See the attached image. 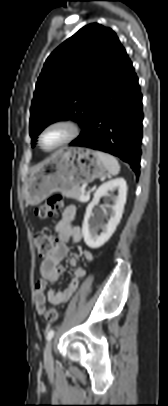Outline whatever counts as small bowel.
Returning a JSON list of instances; mask_svg holds the SVG:
<instances>
[{
  "instance_id": "small-bowel-1",
  "label": "small bowel",
  "mask_w": 168,
  "mask_h": 406,
  "mask_svg": "<svg viewBox=\"0 0 168 406\" xmlns=\"http://www.w3.org/2000/svg\"><path fill=\"white\" fill-rule=\"evenodd\" d=\"M76 216V208L68 206L64 209L60 220L55 224L54 231L58 235V243L39 266L40 280L36 283L34 296L38 303L44 299V292L49 282H55L64 273V267L61 264L62 260L67 257L69 246L77 243L82 238L80 227L73 225V220ZM94 255L91 251L85 250L82 253V259L85 262H91ZM78 257L70 258L69 263L75 267L74 276L69 280L67 287L64 290L50 288L47 290V299L53 305H60L67 302L79 287V279L86 276V269L83 265L78 264Z\"/></svg>"
}]
</instances>
